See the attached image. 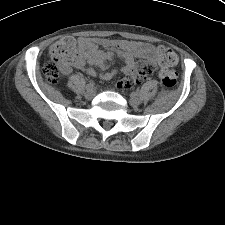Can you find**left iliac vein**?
Segmentation results:
<instances>
[{"instance_id": "obj_1", "label": "left iliac vein", "mask_w": 225, "mask_h": 225, "mask_svg": "<svg viewBox=\"0 0 225 225\" xmlns=\"http://www.w3.org/2000/svg\"><path fill=\"white\" fill-rule=\"evenodd\" d=\"M141 100L138 97L132 96L129 99V103L133 107H137L140 104Z\"/></svg>"}]
</instances>
